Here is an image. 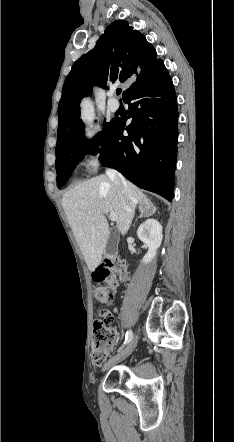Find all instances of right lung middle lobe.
<instances>
[{
  "label": "right lung middle lobe",
  "mask_w": 234,
  "mask_h": 442,
  "mask_svg": "<svg viewBox=\"0 0 234 442\" xmlns=\"http://www.w3.org/2000/svg\"><path fill=\"white\" fill-rule=\"evenodd\" d=\"M114 123L115 119L106 122L102 132L93 138L92 141L96 146L98 144L105 146ZM87 142L89 141L85 139L83 125L71 135L67 142L56 148V172L59 187L66 183L78 161L82 160L86 154L98 152L97 148H86Z\"/></svg>",
  "instance_id": "1"
}]
</instances>
